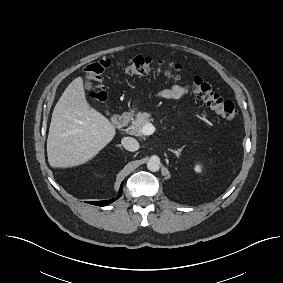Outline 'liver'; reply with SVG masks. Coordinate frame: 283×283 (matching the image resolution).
<instances>
[{
	"instance_id": "obj_1",
	"label": "liver",
	"mask_w": 283,
	"mask_h": 283,
	"mask_svg": "<svg viewBox=\"0 0 283 283\" xmlns=\"http://www.w3.org/2000/svg\"><path fill=\"white\" fill-rule=\"evenodd\" d=\"M116 129L86 99L83 78L65 89L53 113L47 139L48 162L71 168L92 160L114 138Z\"/></svg>"
}]
</instances>
